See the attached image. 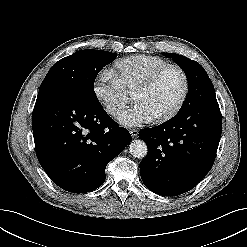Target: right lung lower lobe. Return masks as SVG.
Segmentation results:
<instances>
[{"instance_id":"obj_1","label":"right lung lower lobe","mask_w":247,"mask_h":247,"mask_svg":"<svg viewBox=\"0 0 247 247\" xmlns=\"http://www.w3.org/2000/svg\"><path fill=\"white\" fill-rule=\"evenodd\" d=\"M32 128L40 165L56 185L74 193L100 187L108 162L131 141L99 101L74 85L39 90Z\"/></svg>"}]
</instances>
